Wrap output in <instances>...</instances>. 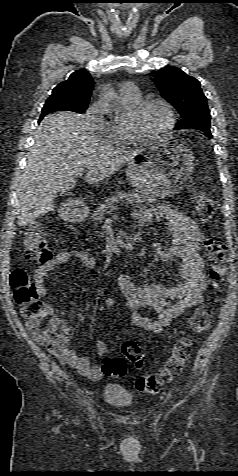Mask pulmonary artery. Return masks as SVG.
<instances>
[{
    "label": "pulmonary artery",
    "instance_id": "e3ab8cb5",
    "mask_svg": "<svg viewBox=\"0 0 238 476\" xmlns=\"http://www.w3.org/2000/svg\"><path fill=\"white\" fill-rule=\"evenodd\" d=\"M120 95L125 98L138 99L140 98V91L134 83L126 82L120 87Z\"/></svg>",
    "mask_w": 238,
    "mask_h": 476
}]
</instances>
